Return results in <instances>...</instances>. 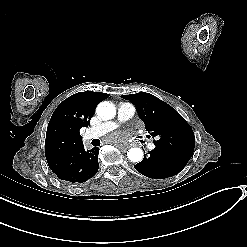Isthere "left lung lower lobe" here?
I'll list each match as a JSON object with an SVG mask.
<instances>
[{"instance_id": "obj_1", "label": "left lung lower lobe", "mask_w": 247, "mask_h": 247, "mask_svg": "<svg viewBox=\"0 0 247 247\" xmlns=\"http://www.w3.org/2000/svg\"><path fill=\"white\" fill-rule=\"evenodd\" d=\"M190 158L183 153L155 147L150 156H144L134 167L146 177L164 179L178 174Z\"/></svg>"}]
</instances>
